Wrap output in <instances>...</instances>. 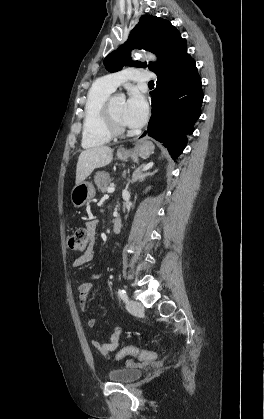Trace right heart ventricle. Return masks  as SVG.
<instances>
[{
  "mask_svg": "<svg viewBox=\"0 0 264 419\" xmlns=\"http://www.w3.org/2000/svg\"><path fill=\"white\" fill-rule=\"evenodd\" d=\"M113 90L100 80L89 89L84 106L82 146L95 148L107 144L112 135L107 127L104 106Z\"/></svg>",
  "mask_w": 264,
  "mask_h": 419,
  "instance_id": "obj_1",
  "label": "right heart ventricle"
}]
</instances>
